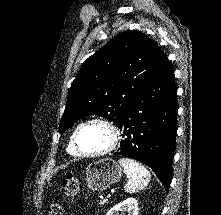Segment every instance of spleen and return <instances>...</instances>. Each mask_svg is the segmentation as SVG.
I'll return each instance as SVG.
<instances>
[{
  "mask_svg": "<svg viewBox=\"0 0 221 215\" xmlns=\"http://www.w3.org/2000/svg\"><path fill=\"white\" fill-rule=\"evenodd\" d=\"M119 164L124 168V172L128 177V181L124 186L126 192L135 193L145 188L150 182L149 171L139 162L129 158H120Z\"/></svg>",
  "mask_w": 221,
  "mask_h": 215,
  "instance_id": "spleen-1",
  "label": "spleen"
}]
</instances>
